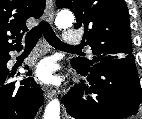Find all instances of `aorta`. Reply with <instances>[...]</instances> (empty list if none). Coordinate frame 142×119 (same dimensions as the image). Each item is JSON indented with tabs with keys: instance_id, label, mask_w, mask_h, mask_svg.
Returning a JSON list of instances; mask_svg holds the SVG:
<instances>
[{
	"instance_id": "1",
	"label": "aorta",
	"mask_w": 142,
	"mask_h": 119,
	"mask_svg": "<svg viewBox=\"0 0 142 119\" xmlns=\"http://www.w3.org/2000/svg\"><path fill=\"white\" fill-rule=\"evenodd\" d=\"M74 15L71 11H60L55 19V25L60 29H66L72 26ZM43 119H60V102L58 99H53L45 108Z\"/></svg>"
}]
</instances>
